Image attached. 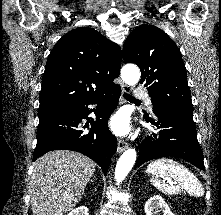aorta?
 Listing matches in <instances>:
<instances>
[{
	"mask_svg": "<svg viewBox=\"0 0 221 215\" xmlns=\"http://www.w3.org/2000/svg\"><path fill=\"white\" fill-rule=\"evenodd\" d=\"M121 77L127 85L133 86L136 85L140 79V71L136 65L127 64L121 69ZM136 156V150L129 148L119 158L114 173L115 181L118 184L125 179L132 169L136 161Z\"/></svg>",
	"mask_w": 221,
	"mask_h": 215,
	"instance_id": "762f6f07",
	"label": "aorta"
}]
</instances>
